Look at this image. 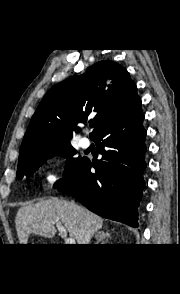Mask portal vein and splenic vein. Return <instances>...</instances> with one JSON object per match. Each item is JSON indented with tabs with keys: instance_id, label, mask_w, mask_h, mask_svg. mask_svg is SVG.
<instances>
[{
	"instance_id": "portal-vein-and-splenic-vein-1",
	"label": "portal vein and splenic vein",
	"mask_w": 180,
	"mask_h": 294,
	"mask_svg": "<svg viewBox=\"0 0 180 294\" xmlns=\"http://www.w3.org/2000/svg\"><path fill=\"white\" fill-rule=\"evenodd\" d=\"M54 224H56V227L59 230V234L61 235V237L64 238L66 244H69V245L76 244L75 239L67 238V231H66L65 227L61 223L54 222Z\"/></svg>"
}]
</instances>
